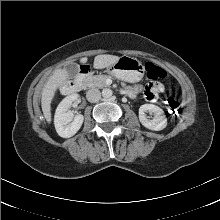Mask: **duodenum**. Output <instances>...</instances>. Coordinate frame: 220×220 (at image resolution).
<instances>
[{"instance_id": "410a0bca", "label": "duodenum", "mask_w": 220, "mask_h": 220, "mask_svg": "<svg viewBox=\"0 0 220 220\" xmlns=\"http://www.w3.org/2000/svg\"><path fill=\"white\" fill-rule=\"evenodd\" d=\"M91 71L92 70L89 65H82L76 77L73 80L67 82L62 87V91L65 94L78 92L82 88L85 78L91 74Z\"/></svg>"}]
</instances>
